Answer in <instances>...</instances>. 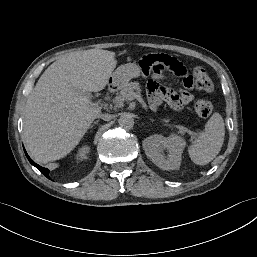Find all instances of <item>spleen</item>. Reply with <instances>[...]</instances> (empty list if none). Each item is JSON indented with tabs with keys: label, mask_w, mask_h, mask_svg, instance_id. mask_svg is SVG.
Instances as JSON below:
<instances>
[{
	"label": "spleen",
	"mask_w": 257,
	"mask_h": 257,
	"mask_svg": "<svg viewBox=\"0 0 257 257\" xmlns=\"http://www.w3.org/2000/svg\"><path fill=\"white\" fill-rule=\"evenodd\" d=\"M225 126L222 116L214 113L202 132L188 148L191 160L197 165H206L220 152L224 142Z\"/></svg>",
	"instance_id": "1"
}]
</instances>
